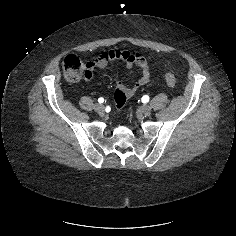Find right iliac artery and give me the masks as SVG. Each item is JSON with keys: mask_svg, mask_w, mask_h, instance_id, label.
I'll return each mask as SVG.
<instances>
[{"mask_svg": "<svg viewBox=\"0 0 236 236\" xmlns=\"http://www.w3.org/2000/svg\"><path fill=\"white\" fill-rule=\"evenodd\" d=\"M98 102H99V103H103V102H104V98L100 97V98L98 99Z\"/></svg>", "mask_w": 236, "mask_h": 236, "instance_id": "1", "label": "right iliac artery"}]
</instances>
